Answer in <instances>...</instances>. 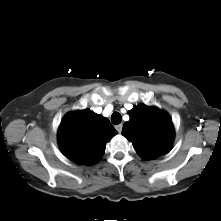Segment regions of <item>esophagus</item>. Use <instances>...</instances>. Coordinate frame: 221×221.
I'll return each mask as SVG.
<instances>
[{"label": "esophagus", "instance_id": "esophagus-1", "mask_svg": "<svg viewBox=\"0 0 221 221\" xmlns=\"http://www.w3.org/2000/svg\"><path fill=\"white\" fill-rule=\"evenodd\" d=\"M122 127H123L122 124H118L115 128H116V130H117L119 133H121Z\"/></svg>", "mask_w": 221, "mask_h": 221}]
</instances>
